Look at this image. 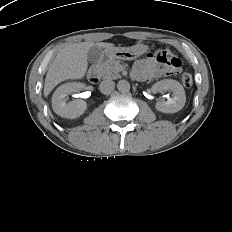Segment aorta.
<instances>
[{"instance_id": "762f6f07", "label": "aorta", "mask_w": 232, "mask_h": 232, "mask_svg": "<svg viewBox=\"0 0 232 232\" xmlns=\"http://www.w3.org/2000/svg\"><path fill=\"white\" fill-rule=\"evenodd\" d=\"M117 88L120 92L125 93L130 90V84L126 80H120L117 84Z\"/></svg>"}]
</instances>
